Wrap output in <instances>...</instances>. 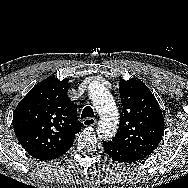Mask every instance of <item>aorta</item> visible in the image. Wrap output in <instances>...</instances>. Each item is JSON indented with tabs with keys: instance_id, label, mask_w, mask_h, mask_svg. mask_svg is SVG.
<instances>
[{
	"instance_id": "1",
	"label": "aorta",
	"mask_w": 188,
	"mask_h": 188,
	"mask_svg": "<svg viewBox=\"0 0 188 188\" xmlns=\"http://www.w3.org/2000/svg\"><path fill=\"white\" fill-rule=\"evenodd\" d=\"M90 99L96 108L100 122L97 133L100 138L111 139L118 127V110L109 91L99 82L90 84Z\"/></svg>"
}]
</instances>
